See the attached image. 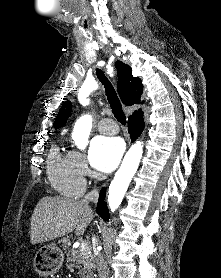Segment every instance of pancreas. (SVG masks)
I'll return each mask as SVG.
<instances>
[{
  "label": "pancreas",
  "instance_id": "cf45deb5",
  "mask_svg": "<svg viewBox=\"0 0 221 278\" xmlns=\"http://www.w3.org/2000/svg\"><path fill=\"white\" fill-rule=\"evenodd\" d=\"M60 242L64 243L63 245L67 253L68 267L72 269L75 264H82L83 267L78 272V274L81 278H90L94 265L92 262V255L90 253L89 246L86 251L81 252L80 249L74 250L69 248L71 246V241L69 238L61 239Z\"/></svg>",
  "mask_w": 221,
  "mask_h": 278
}]
</instances>
